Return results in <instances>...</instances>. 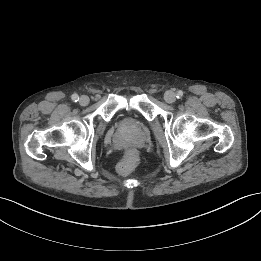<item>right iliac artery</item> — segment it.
Masks as SVG:
<instances>
[{
  "instance_id": "obj_1",
  "label": "right iliac artery",
  "mask_w": 261,
  "mask_h": 261,
  "mask_svg": "<svg viewBox=\"0 0 261 261\" xmlns=\"http://www.w3.org/2000/svg\"><path fill=\"white\" fill-rule=\"evenodd\" d=\"M71 98L74 102H77L79 100V96L77 94H73Z\"/></svg>"
}]
</instances>
